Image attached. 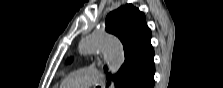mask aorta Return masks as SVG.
I'll return each mask as SVG.
<instances>
[{
    "instance_id": "1",
    "label": "aorta",
    "mask_w": 223,
    "mask_h": 88,
    "mask_svg": "<svg viewBox=\"0 0 223 88\" xmlns=\"http://www.w3.org/2000/svg\"><path fill=\"white\" fill-rule=\"evenodd\" d=\"M100 51L103 53L104 60L109 71L116 73L124 63V51L118 39L105 33H93L85 37L80 45L79 52L81 54H91ZM114 84H111L113 87Z\"/></svg>"
}]
</instances>
